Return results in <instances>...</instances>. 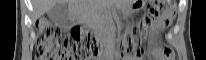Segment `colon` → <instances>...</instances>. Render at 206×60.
Segmentation results:
<instances>
[{
  "mask_svg": "<svg viewBox=\"0 0 206 60\" xmlns=\"http://www.w3.org/2000/svg\"><path fill=\"white\" fill-rule=\"evenodd\" d=\"M176 1H153L146 15L139 23L128 28L122 43V49L127 55L134 57L141 53V44L148 34L150 22L162 17L168 21L174 12ZM99 44L93 32L86 27L73 26L63 39L60 31L49 19L42 17L37 22V60H89L97 55ZM166 56L172 58V51L165 48Z\"/></svg>",
  "mask_w": 206,
  "mask_h": 60,
  "instance_id": "1",
  "label": "colon"
}]
</instances>
